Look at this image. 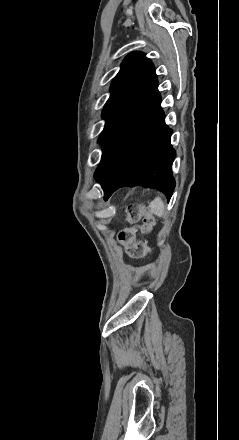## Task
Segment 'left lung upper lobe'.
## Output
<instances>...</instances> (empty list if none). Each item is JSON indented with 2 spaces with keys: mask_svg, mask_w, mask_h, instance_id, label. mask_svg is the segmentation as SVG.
Returning <instances> with one entry per match:
<instances>
[{
  "mask_svg": "<svg viewBox=\"0 0 239 440\" xmlns=\"http://www.w3.org/2000/svg\"><path fill=\"white\" fill-rule=\"evenodd\" d=\"M156 80L154 65L144 53L132 52L126 56L111 84V95L102 113L106 123L98 142L136 105Z\"/></svg>",
  "mask_w": 239,
  "mask_h": 440,
  "instance_id": "left-lung-upper-lobe-1",
  "label": "left lung upper lobe"
}]
</instances>
